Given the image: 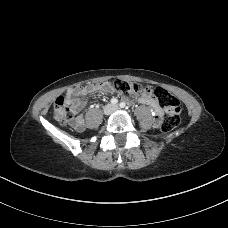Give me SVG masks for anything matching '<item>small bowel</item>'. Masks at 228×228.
<instances>
[{
    "label": "small bowel",
    "instance_id": "small-bowel-1",
    "mask_svg": "<svg viewBox=\"0 0 228 228\" xmlns=\"http://www.w3.org/2000/svg\"><path fill=\"white\" fill-rule=\"evenodd\" d=\"M98 91L107 92V93L114 92V90L111 87L104 85L103 83L97 84L96 87L94 86V84H90L87 86H76L68 89L64 96V99L69 105L72 106L75 113H78L83 106V101L81 97ZM137 100L142 104H146L150 106L155 113L157 122H159V120L163 115V110L160 107L157 100L151 95V93H145L137 97ZM72 125L76 129H81L83 126L82 118L77 117L75 121L72 123Z\"/></svg>",
    "mask_w": 228,
    "mask_h": 228
}]
</instances>
